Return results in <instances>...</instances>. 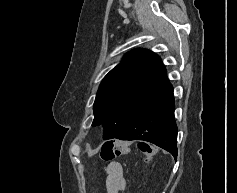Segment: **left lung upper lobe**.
<instances>
[{
  "label": "left lung upper lobe",
  "mask_w": 237,
  "mask_h": 193,
  "mask_svg": "<svg viewBox=\"0 0 237 193\" xmlns=\"http://www.w3.org/2000/svg\"><path fill=\"white\" fill-rule=\"evenodd\" d=\"M166 73L158 55L135 49L102 80L94 102L93 126L103 124L104 139L117 138L150 86Z\"/></svg>",
  "instance_id": "left-lung-upper-lobe-1"
}]
</instances>
